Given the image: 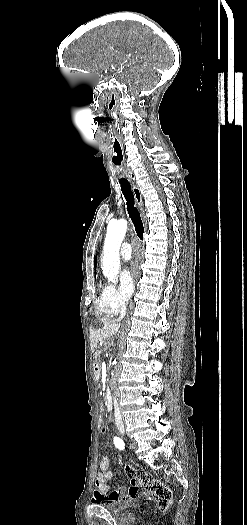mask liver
<instances>
[{"mask_svg": "<svg viewBox=\"0 0 247 525\" xmlns=\"http://www.w3.org/2000/svg\"><path fill=\"white\" fill-rule=\"evenodd\" d=\"M120 325L121 323H117L114 319L100 321L97 325L98 329H95L97 341H104V339H108V337H113L116 333H120Z\"/></svg>", "mask_w": 247, "mask_h": 525, "instance_id": "6515ba94", "label": "liver"}]
</instances>
